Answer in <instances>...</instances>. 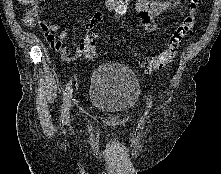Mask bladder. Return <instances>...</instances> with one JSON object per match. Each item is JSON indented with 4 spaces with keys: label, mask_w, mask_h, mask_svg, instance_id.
I'll list each match as a JSON object with an SVG mask.
<instances>
[{
    "label": "bladder",
    "mask_w": 221,
    "mask_h": 174,
    "mask_svg": "<svg viewBox=\"0 0 221 174\" xmlns=\"http://www.w3.org/2000/svg\"><path fill=\"white\" fill-rule=\"evenodd\" d=\"M140 94L139 80L129 67L105 63L91 76L88 99L105 112L123 113L137 105Z\"/></svg>",
    "instance_id": "bladder-1"
}]
</instances>
